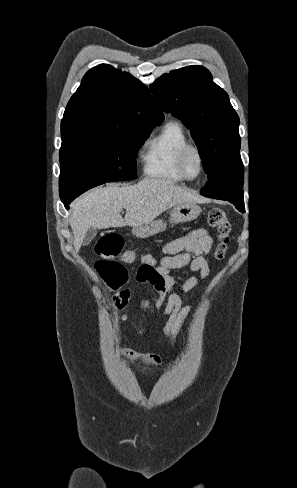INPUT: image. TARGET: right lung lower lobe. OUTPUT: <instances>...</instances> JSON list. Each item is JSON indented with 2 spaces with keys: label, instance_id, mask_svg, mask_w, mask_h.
Wrapping results in <instances>:
<instances>
[{
  "label": "right lung lower lobe",
  "instance_id": "right-lung-lower-lobe-1",
  "mask_svg": "<svg viewBox=\"0 0 297 488\" xmlns=\"http://www.w3.org/2000/svg\"><path fill=\"white\" fill-rule=\"evenodd\" d=\"M69 204H70L69 202H65V203H64V205H65L66 209H68V208H69V206H68Z\"/></svg>",
  "mask_w": 297,
  "mask_h": 488
}]
</instances>
